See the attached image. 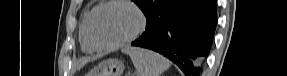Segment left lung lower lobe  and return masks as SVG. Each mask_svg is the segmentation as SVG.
<instances>
[{
  "instance_id": "left-lung-lower-lobe-1",
  "label": "left lung lower lobe",
  "mask_w": 287,
  "mask_h": 76,
  "mask_svg": "<svg viewBox=\"0 0 287 76\" xmlns=\"http://www.w3.org/2000/svg\"><path fill=\"white\" fill-rule=\"evenodd\" d=\"M216 22V0H171L147 18L146 31L131 45L161 53L186 76H199Z\"/></svg>"
}]
</instances>
